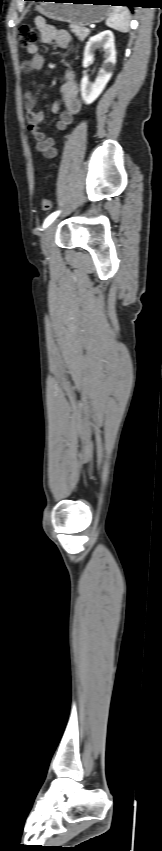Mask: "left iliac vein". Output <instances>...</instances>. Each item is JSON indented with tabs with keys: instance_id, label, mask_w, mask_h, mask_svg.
Returning a JSON list of instances; mask_svg holds the SVG:
<instances>
[{
	"instance_id": "left-iliac-vein-1",
	"label": "left iliac vein",
	"mask_w": 162,
	"mask_h": 851,
	"mask_svg": "<svg viewBox=\"0 0 162 851\" xmlns=\"http://www.w3.org/2000/svg\"><path fill=\"white\" fill-rule=\"evenodd\" d=\"M56 229V222H52L46 230L43 232L41 237V248L44 254H48L51 246L52 239L54 237Z\"/></svg>"
}]
</instances>
